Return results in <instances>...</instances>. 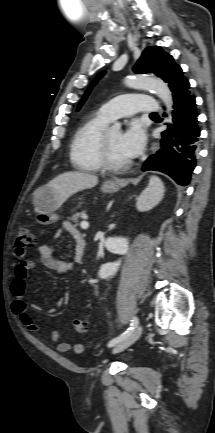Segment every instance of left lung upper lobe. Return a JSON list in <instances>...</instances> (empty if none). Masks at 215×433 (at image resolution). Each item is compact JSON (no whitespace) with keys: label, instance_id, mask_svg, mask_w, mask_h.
<instances>
[{"label":"left lung upper lobe","instance_id":"obj_1","mask_svg":"<svg viewBox=\"0 0 215 433\" xmlns=\"http://www.w3.org/2000/svg\"><path fill=\"white\" fill-rule=\"evenodd\" d=\"M133 71L136 73H154L167 82L170 88L176 81L184 77L182 69L174 62L173 57L162 51L158 46L146 48L136 65L133 67ZM104 74L105 72H101L96 79L93 80L82 98L78 109L86 100L92 87Z\"/></svg>","mask_w":215,"mask_h":433}]
</instances>
